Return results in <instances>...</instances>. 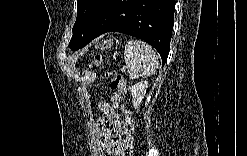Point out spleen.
Returning <instances> with one entry per match:
<instances>
[{
	"mask_svg": "<svg viewBox=\"0 0 247 156\" xmlns=\"http://www.w3.org/2000/svg\"><path fill=\"white\" fill-rule=\"evenodd\" d=\"M124 61L130 69V79L145 78L154 74L158 67L156 53L150 45L140 40L128 41L124 49Z\"/></svg>",
	"mask_w": 247,
	"mask_h": 156,
	"instance_id": "obj_1",
	"label": "spleen"
}]
</instances>
